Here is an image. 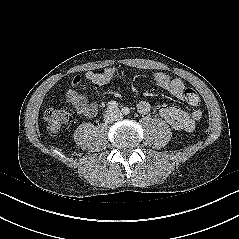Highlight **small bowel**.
Returning <instances> with one entry per match:
<instances>
[{
    "label": "small bowel",
    "instance_id": "c3829d8e",
    "mask_svg": "<svg viewBox=\"0 0 239 239\" xmlns=\"http://www.w3.org/2000/svg\"><path fill=\"white\" fill-rule=\"evenodd\" d=\"M115 67H107L97 72H86L84 76H75L67 91L66 97L68 102L74 106L77 113L84 117H93L98 111L96 104L90 103L86 96L79 93L77 88L81 84L83 78L96 85H105L110 82L116 75ZM153 80L158 87L168 91L178 100H183L184 82L180 78H171L164 72H155ZM137 110L142 115H147L151 110V105L147 101H140L137 104ZM161 117L174 129L192 131L196 123L202 117V110L196 108L191 112H187L176 106H165L160 109Z\"/></svg>",
    "mask_w": 239,
    "mask_h": 239
}]
</instances>
